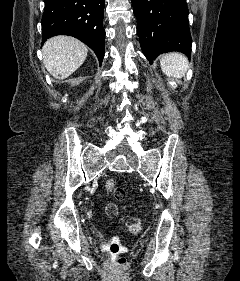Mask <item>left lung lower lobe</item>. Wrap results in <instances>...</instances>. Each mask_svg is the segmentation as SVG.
<instances>
[{
  "instance_id": "0a47b994",
  "label": "left lung lower lobe",
  "mask_w": 240,
  "mask_h": 281,
  "mask_svg": "<svg viewBox=\"0 0 240 281\" xmlns=\"http://www.w3.org/2000/svg\"><path fill=\"white\" fill-rule=\"evenodd\" d=\"M137 33L146 58L180 51L190 57L192 39L186 0H131Z\"/></svg>"
}]
</instances>
